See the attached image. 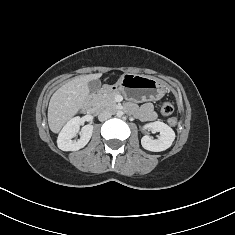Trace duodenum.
Wrapping results in <instances>:
<instances>
[{"label": "duodenum", "instance_id": "1", "mask_svg": "<svg viewBox=\"0 0 235 235\" xmlns=\"http://www.w3.org/2000/svg\"><path fill=\"white\" fill-rule=\"evenodd\" d=\"M110 91H112V89H111L110 87H108V86H105V87H103L102 90H100V93H108V92H110ZM84 109H85L87 112H89V113L94 112V108H93V106H92V103H91V100H90V99H89V101L85 104Z\"/></svg>", "mask_w": 235, "mask_h": 235}]
</instances>
